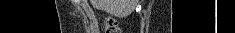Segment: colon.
Wrapping results in <instances>:
<instances>
[{"label":"colon","mask_w":235,"mask_h":33,"mask_svg":"<svg viewBox=\"0 0 235 33\" xmlns=\"http://www.w3.org/2000/svg\"><path fill=\"white\" fill-rule=\"evenodd\" d=\"M104 30L106 33H119L117 23L112 18H106L104 22Z\"/></svg>","instance_id":"5ec220e1"}]
</instances>
